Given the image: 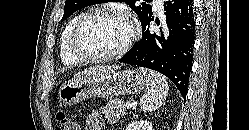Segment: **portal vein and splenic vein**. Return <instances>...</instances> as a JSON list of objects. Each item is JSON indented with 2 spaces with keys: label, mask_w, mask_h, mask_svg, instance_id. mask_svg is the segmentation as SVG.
<instances>
[{
  "label": "portal vein and splenic vein",
  "mask_w": 249,
  "mask_h": 130,
  "mask_svg": "<svg viewBox=\"0 0 249 130\" xmlns=\"http://www.w3.org/2000/svg\"><path fill=\"white\" fill-rule=\"evenodd\" d=\"M132 107L131 103H126L125 108L130 109Z\"/></svg>",
  "instance_id": "1"
}]
</instances>
